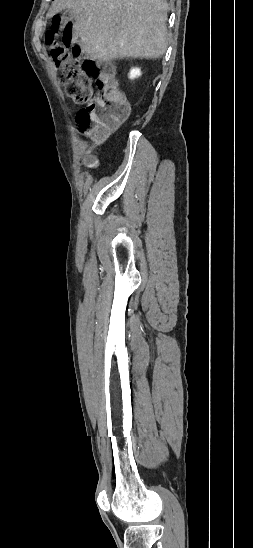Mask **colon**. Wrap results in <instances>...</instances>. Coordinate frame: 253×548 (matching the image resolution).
I'll return each mask as SVG.
<instances>
[{
	"mask_svg": "<svg viewBox=\"0 0 253 548\" xmlns=\"http://www.w3.org/2000/svg\"><path fill=\"white\" fill-rule=\"evenodd\" d=\"M49 49L55 65L63 70L60 82L66 95L83 105L77 113L82 132L102 136L127 118L129 105L110 66H100L66 43L50 42Z\"/></svg>",
	"mask_w": 253,
	"mask_h": 548,
	"instance_id": "1",
	"label": "colon"
}]
</instances>
